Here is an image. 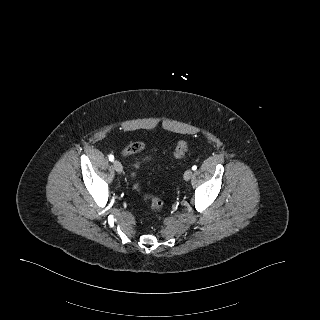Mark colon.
I'll use <instances>...</instances> for the list:
<instances>
[{
	"mask_svg": "<svg viewBox=\"0 0 320 320\" xmlns=\"http://www.w3.org/2000/svg\"><path fill=\"white\" fill-rule=\"evenodd\" d=\"M144 147H145V145L142 142H131L130 144H128L124 148L123 154L124 155H133V154L141 152L144 149ZM188 148H189V141H187V140L178 141L177 144H176V147H175V149L173 151L172 157L174 159H181L182 157H184V155L187 152ZM150 159H151V157H145V158H143V160L137 161L134 164L133 175H135V171L137 169H139V167L142 165V163L147 162ZM135 189L136 190H140V186L138 184H135ZM145 198L149 202L150 208H151L152 211H158V210H160L162 208L163 201L157 195H155V194H146Z\"/></svg>",
	"mask_w": 320,
	"mask_h": 320,
	"instance_id": "1",
	"label": "colon"
}]
</instances>
